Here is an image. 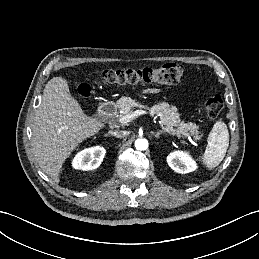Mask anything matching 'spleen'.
<instances>
[{"label":"spleen","instance_id":"spleen-1","mask_svg":"<svg viewBox=\"0 0 259 259\" xmlns=\"http://www.w3.org/2000/svg\"><path fill=\"white\" fill-rule=\"evenodd\" d=\"M207 142L208 144L202 159L208 169H213L224 159L229 146L227 125L222 120L215 122Z\"/></svg>","mask_w":259,"mask_h":259}]
</instances>
